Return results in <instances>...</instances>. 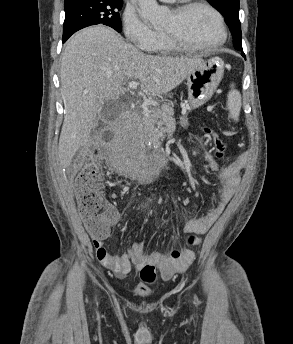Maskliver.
Returning <instances> with one entry per match:
<instances>
[{
	"label": "liver",
	"mask_w": 293,
	"mask_h": 344,
	"mask_svg": "<svg viewBox=\"0 0 293 344\" xmlns=\"http://www.w3.org/2000/svg\"><path fill=\"white\" fill-rule=\"evenodd\" d=\"M202 63L200 57L147 55L102 25L78 32L61 60V166L68 167L76 151L88 144L97 114L107 101L124 93L127 81L138 80L146 95L159 96L180 85Z\"/></svg>",
	"instance_id": "liver-1"
}]
</instances>
